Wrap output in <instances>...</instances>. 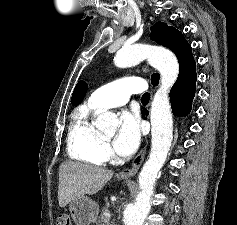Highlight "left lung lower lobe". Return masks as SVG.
I'll return each instance as SVG.
<instances>
[{
	"label": "left lung lower lobe",
	"instance_id": "1",
	"mask_svg": "<svg viewBox=\"0 0 237 225\" xmlns=\"http://www.w3.org/2000/svg\"><path fill=\"white\" fill-rule=\"evenodd\" d=\"M195 73H183L178 76L177 81L170 91V101L173 114L176 116L187 115L192 108L196 85ZM144 114H148L145 110Z\"/></svg>",
	"mask_w": 237,
	"mask_h": 225
}]
</instances>
